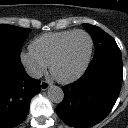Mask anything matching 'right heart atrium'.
Wrapping results in <instances>:
<instances>
[{
    "label": "right heart atrium",
    "mask_w": 128,
    "mask_h": 128,
    "mask_svg": "<svg viewBox=\"0 0 128 128\" xmlns=\"http://www.w3.org/2000/svg\"><path fill=\"white\" fill-rule=\"evenodd\" d=\"M20 60L28 73L33 77H40L47 69V66L30 50L22 51L20 53Z\"/></svg>",
    "instance_id": "1"
}]
</instances>
